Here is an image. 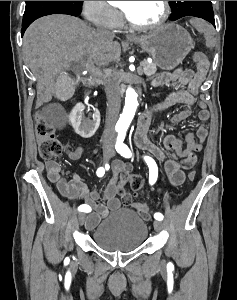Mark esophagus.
<instances>
[{
	"instance_id": "obj_1",
	"label": "esophagus",
	"mask_w": 237,
	"mask_h": 300,
	"mask_svg": "<svg viewBox=\"0 0 237 300\" xmlns=\"http://www.w3.org/2000/svg\"><path fill=\"white\" fill-rule=\"evenodd\" d=\"M127 39L131 40V39H133V36H127Z\"/></svg>"
}]
</instances>
